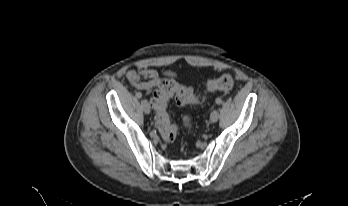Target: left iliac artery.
<instances>
[{"label":"left iliac artery","instance_id":"left-iliac-artery-1","mask_svg":"<svg viewBox=\"0 0 348 206\" xmlns=\"http://www.w3.org/2000/svg\"><path fill=\"white\" fill-rule=\"evenodd\" d=\"M216 103L217 104H221L222 103V100L220 98L216 99Z\"/></svg>","mask_w":348,"mask_h":206}]
</instances>
